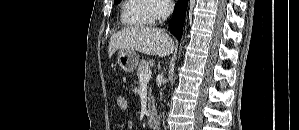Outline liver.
I'll return each instance as SVG.
<instances>
[{
	"label": "liver",
	"mask_w": 299,
	"mask_h": 130,
	"mask_svg": "<svg viewBox=\"0 0 299 130\" xmlns=\"http://www.w3.org/2000/svg\"><path fill=\"white\" fill-rule=\"evenodd\" d=\"M174 42L159 28L130 27L113 34L109 42V58L116 50H136L151 56L166 57L173 52Z\"/></svg>",
	"instance_id": "1"
}]
</instances>
